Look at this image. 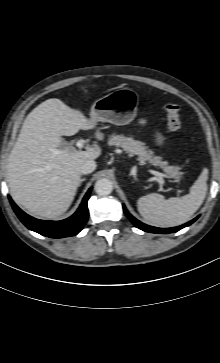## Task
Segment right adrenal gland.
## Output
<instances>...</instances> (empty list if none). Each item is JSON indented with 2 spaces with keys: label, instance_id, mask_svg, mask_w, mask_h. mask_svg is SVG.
Here are the masks:
<instances>
[{
  "label": "right adrenal gland",
  "instance_id": "right-adrenal-gland-1",
  "mask_svg": "<svg viewBox=\"0 0 220 363\" xmlns=\"http://www.w3.org/2000/svg\"><path fill=\"white\" fill-rule=\"evenodd\" d=\"M85 181V178L80 179L79 186H81L82 182Z\"/></svg>",
  "mask_w": 220,
  "mask_h": 363
}]
</instances>
